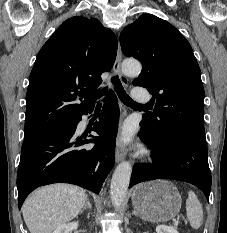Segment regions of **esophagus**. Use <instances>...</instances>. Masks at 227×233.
<instances>
[{
	"label": "esophagus",
	"instance_id": "34e87169",
	"mask_svg": "<svg viewBox=\"0 0 227 233\" xmlns=\"http://www.w3.org/2000/svg\"><path fill=\"white\" fill-rule=\"evenodd\" d=\"M121 61H122V51H121L120 44L118 43L117 56H116V60H115L114 66H113V71H114L115 74L118 75V77L121 80L122 84L125 87H127L128 84H129V80L121 72ZM122 115L123 116L126 115V110L124 108L122 109ZM126 153H127L126 147L118 140L117 143H116V151H115V160H116V162L122 161L125 158Z\"/></svg>",
	"mask_w": 227,
	"mask_h": 233
}]
</instances>
